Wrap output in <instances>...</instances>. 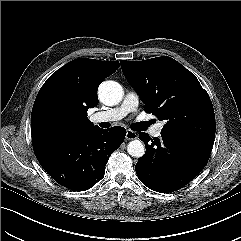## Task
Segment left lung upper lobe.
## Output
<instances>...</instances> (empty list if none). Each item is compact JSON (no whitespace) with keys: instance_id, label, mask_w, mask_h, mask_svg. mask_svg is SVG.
Returning a JSON list of instances; mask_svg holds the SVG:
<instances>
[{"instance_id":"1","label":"left lung upper lobe","mask_w":241,"mask_h":241,"mask_svg":"<svg viewBox=\"0 0 241 241\" xmlns=\"http://www.w3.org/2000/svg\"><path fill=\"white\" fill-rule=\"evenodd\" d=\"M120 63L145 103L144 110L166 120L161 132L214 142L216 125L210 97L190 71L168 56Z\"/></svg>"}]
</instances>
